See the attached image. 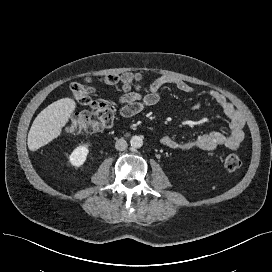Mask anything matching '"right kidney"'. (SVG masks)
Here are the masks:
<instances>
[{
    "mask_svg": "<svg viewBox=\"0 0 272 272\" xmlns=\"http://www.w3.org/2000/svg\"><path fill=\"white\" fill-rule=\"evenodd\" d=\"M89 149L86 146H79L73 150L69 156V161L73 166L79 167L86 161Z\"/></svg>",
    "mask_w": 272,
    "mask_h": 272,
    "instance_id": "ca27d5eb",
    "label": "right kidney"
}]
</instances>
